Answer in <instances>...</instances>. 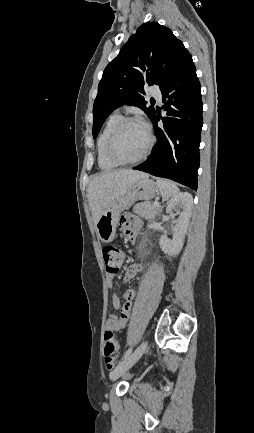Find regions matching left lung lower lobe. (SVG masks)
I'll use <instances>...</instances> for the list:
<instances>
[{
  "label": "left lung lower lobe",
  "mask_w": 254,
  "mask_h": 433,
  "mask_svg": "<svg viewBox=\"0 0 254 433\" xmlns=\"http://www.w3.org/2000/svg\"><path fill=\"white\" fill-rule=\"evenodd\" d=\"M164 127L159 128L156 112L151 121L157 143L151 157L134 167L154 176L168 178L197 190L199 145L203 126L201 86L192 56L186 52L175 70L160 89Z\"/></svg>",
  "instance_id": "0a47b994"
}]
</instances>
